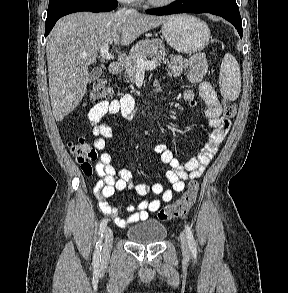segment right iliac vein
<instances>
[{"mask_svg": "<svg viewBox=\"0 0 288 293\" xmlns=\"http://www.w3.org/2000/svg\"><path fill=\"white\" fill-rule=\"evenodd\" d=\"M113 242V231L111 228L107 227L105 230L104 235V243H103V250H102V259H108L112 247Z\"/></svg>", "mask_w": 288, "mask_h": 293, "instance_id": "63e3f726", "label": "right iliac vein"}]
</instances>
